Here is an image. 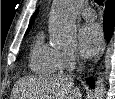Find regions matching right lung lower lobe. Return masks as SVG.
Segmentation results:
<instances>
[{
    "instance_id": "right-lung-lower-lobe-1",
    "label": "right lung lower lobe",
    "mask_w": 115,
    "mask_h": 99,
    "mask_svg": "<svg viewBox=\"0 0 115 99\" xmlns=\"http://www.w3.org/2000/svg\"><path fill=\"white\" fill-rule=\"evenodd\" d=\"M115 23V0L106 2L105 13H104V33L108 40H110ZM88 84L93 87L94 82L91 79H87Z\"/></svg>"
}]
</instances>
